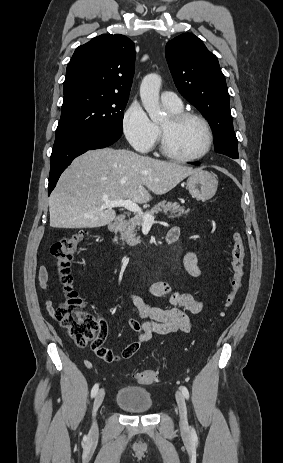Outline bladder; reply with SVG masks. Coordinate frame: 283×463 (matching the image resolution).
I'll return each mask as SVG.
<instances>
[{"label":"bladder","mask_w":283,"mask_h":463,"mask_svg":"<svg viewBox=\"0 0 283 463\" xmlns=\"http://www.w3.org/2000/svg\"><path fill=\"white\" fill-rule=\"evenodd\" d=\"M115 403L129 413H147L154 408L150 392L137 386L121 387L116 394Z\"/></svg>","instance_id":"obj_1"}]
</instances>
